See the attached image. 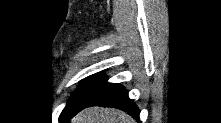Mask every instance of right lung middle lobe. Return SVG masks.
Wrapping results in <instances>:
<instances>
[{
  "instance_id": "1",
  "label": "right lung middle lobe",
  "mask_w": 221,
  "mask_h": 123,
  "mask_svg": "<svg viewBox=\"0 0 221 123\" xmlns=\"http://www.w3.org/2000/svg\"><path fill=\"white\" fill-rule=\"evenodd\" d=\"M102 74H95L82 81L79 89L72 95L62 114L64 116H74L90 102L95 90L105 81Z\"/></svg>"
}]
</instances>
